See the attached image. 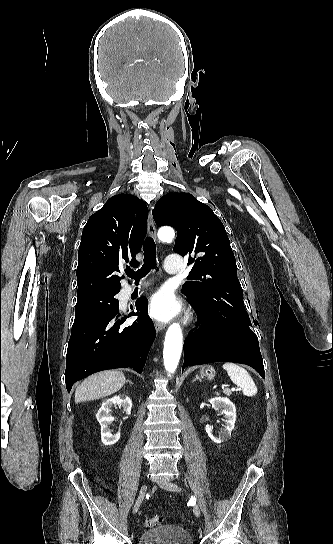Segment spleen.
<instances>
[{
    "label": "spleen",
    "instance_id": "1",
    "mask_svg": "<svg viewBox=\"0 0 333 544\" xmlns=\"http://www.w3.org/2000/svg\"><path fill=\"white\" fill-rule=\"evenodd\" d=\"M223 369L227 371L231 381L241 387L245 396L252 397L257 393V387L249 373L239 365L231 362L223 364Z\"/></svg>",
    "mask_w": 333,
    "mask_h": 544
}]
</instances>
